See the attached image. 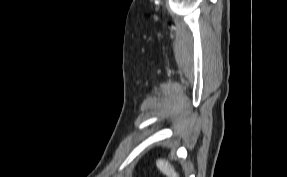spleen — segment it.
Here are the masks:
<instances>
[{
  "label": "spleen",
  "mask_w": 287,
  "mask_h": 177,
  "mask_svg": "<svg viewBox=\"0 0 287 177\" xmlns=\"http://www.w3.org/2000/svg\"><path fill=\"white\" fill-rule=\"evenodd\" d=\"M157 168L165 174L167 177H179L178 173L175 171L174 167L165 160H157Z\"/></svg>",
  "instance_id": "1"
}]
</instances>
